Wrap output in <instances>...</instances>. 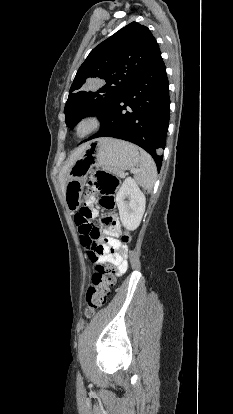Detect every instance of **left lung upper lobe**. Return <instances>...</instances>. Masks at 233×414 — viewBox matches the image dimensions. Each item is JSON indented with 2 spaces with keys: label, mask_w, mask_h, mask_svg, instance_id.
<instances>
[{
  "label": "left lung upper lobe",
  "mask_w": 233,
  "mask_h": 414,
  "mask_svg": "<svg viewBox=\"0 0 233 414\" xmlns=\"http://www.w3.org/2000/svg\"><path fill=\"white\" fill-rule=\"evenodd\" d=\"M160 49L150 30L132 22L96 46L80 66L64 113L73 128L85 116L104 117L154 61ZM100 84L93 88L94 83Z\"/></svg>",
  "instance_id": "1"
}]
</instances>
